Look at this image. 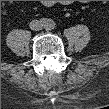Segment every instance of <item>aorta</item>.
Returning a JSON list of instances; mask_svg holds the SVG:
<instances>
[{"label": "aorta", "mask_w": 109, "mask_h": 109, "mask_svg": "<svg viewBox=\"0 0 109 109\" xmlns=\"http://www.w3.org/2000/svg\"><path fill=\"white\" fill-rule=\"evenodd\" d=\"M55 27V22L52 19H47L44 23V28L47 30H51Z\"/></svg>", "instance_id": "obj_1"}]
</instances>
